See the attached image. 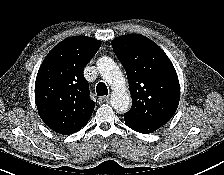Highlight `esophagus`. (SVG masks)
Here are the masks:
<instances>
[{"mask_svg": "<svg viewBox=\"0 0 224 175\" xmlns=\"http://www.w3.org/2000/svg\"><path fill=\"white\" fill-rule=\"evenodd\" d=\"M99 103L103 104V103H107L109 101V97L108 96H101L99 97Z\"/></svg>", "mask_w": 224, "mask_h": 175, "instance_id": "esophagus-1", "label": "esophagus"}]
</instances>
